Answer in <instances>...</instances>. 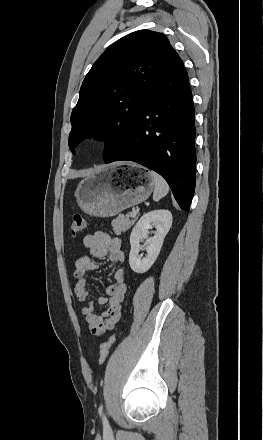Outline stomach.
Here are the masks:
<instances>
[{"instance_id":"1","label":"stomach","mask_w":263,"mask_h":440,"mask_svg":"<svg viewBox=\"0 0 263 440\" xmlns=\"http://www.w3.org/2000/svg\"><path fill=\"white\" fill-rule=\"evenodd\" d=\"M154 188L147 169L129 165L105 167L84 178L77 186L76 199L82 211L96 217H112L145 201Z\"/></svg>"}]
</instances>
